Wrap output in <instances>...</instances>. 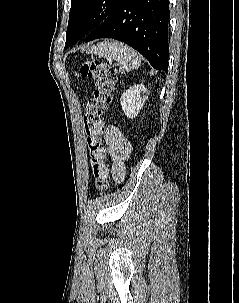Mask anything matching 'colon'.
I'll list each match as a JSON object with an SVG mask.
<instances>
[{
    "label": "colon",
    "instance_id": "obj_1",
    "mask_svg": "<svg viewBox=\"0 0 239 303\" xmlns=\"http://www.w3.org/2000/svg\"><path fill=\"white\" fill-rule=\"evenodd\" d=\"M79 74L92 79L95 85L84 116V131L94 187L102 194L108 188L109 175V168L105 163L107 152L102 141L106 129L104 116L113 100L116 75L105 62L94 58H89L82 64Z\"/></svg>",
    "mask_w": 239,
    "mask_h": 303
}]
</instances>
